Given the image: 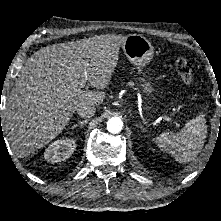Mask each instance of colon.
I'll list each match as a JSON object with an SVG mask.
<instances>
[{
  "label": "colon",
  "mask_w": 221,
  "mask_h": 221,
  "mask_svg": "<svg viewBox=\"0 0 221 221\" xmlns=\"http://www.w3.org/2000/svg\"><path fill=\"white\" fill-rule=\"evenodd\" d=\"M175 68L177 73L181 76L183 82L191 87L194 84V77L192 74V67L190 62L183 56H179L175 60Z\"/></svg>",
  "instance_id": "colon-1"
}]
</instances>
